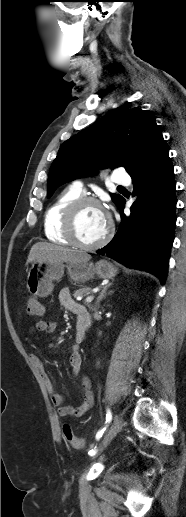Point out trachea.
Masks as SVG:
<instances>
[{"instance_id":"3493384b","label":"trachea","mask_w":186,"mask_h":517,"mask_svg":"<svg viewBox=\"0 0 186 517\" xmlns=\"http://www.w3.org/2000/svg\"><path fill=\"white\" fill-rule=\"evenodd\" d=\"M118 188H124L123 186H118Z\"/></svg>"}]
</instances>
